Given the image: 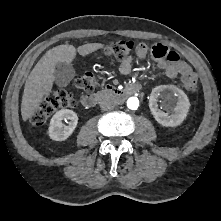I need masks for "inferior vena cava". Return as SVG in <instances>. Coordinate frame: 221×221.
I'll return each mask as SVG.
<instances>
[{
  "label": "inferior vena cava",
  "instance_id": "obj_1",
  "mask_svg": "<svg viewBox=\"0 0 221 221\" xmlns=\"http://www.w3.org/2000/svg\"><path fill=\"white\" fill-rule=\"evenodd\" d=\"M115 105H116V102L111 97H104L100 101V107L104 111L112 110L115 107Z\"/></svg>",
  "mask_w": 221,
  "mask_h": 221
}]
</instances>
